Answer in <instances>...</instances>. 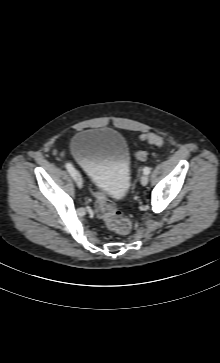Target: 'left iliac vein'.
<instances>
[{
  "mask_svg": "<svg viewBox=\"0 0 220 363\" xmlns=\"http://www.w3.org/2000/svg\"><path fill=\"white\" fill-rule=\"evenodd\" d=\"M148 182H149L148 176L146 174L142 175V177H141V184L143 186H146L148 184Z\"/></svg>",
  "mask_w": 220,
  "mask_h": 363,
  "instance_id": "left-iliac-vein-1",
  "label": "left iliac vein"
}]
</instances>
